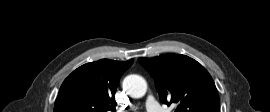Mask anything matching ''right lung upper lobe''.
Instances as JSON below:
<instances>
[{"instance_id":"1","label":"right lung upper lobe","mask_w":270,"mask_h":112,"mask_svg":"<svg viewBox=\"0 0 270 112\" xmlns=\"http://www.w3.org/2000/svg\"><path fill=\"white\" fill-rule=\"evenodd\" d=\"M132 63L102 59L80 66L61 85L54 112H115L114 93Z\"/></svg>"}]
</instances>
